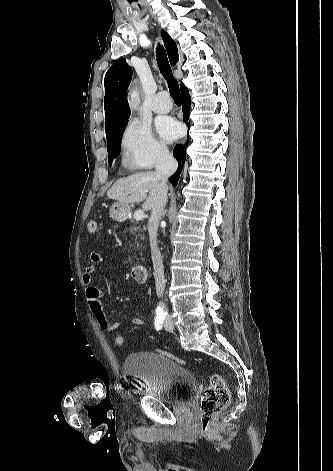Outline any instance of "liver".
<instances>
[{"mask_svg": "<svg viewBox=\"0 0 333 471\" xmlns=\"http://www.w3.org/2000/svg\"><path fill=\"white\" fill-rule=\"evenodd\" d=\"M147 192L149 195L147 196ZM160 194V180L154 171H145L118 179L108 190L107 197L122 204L144 201L142 208L151 210Z\"/></svg>", "mask_w": 333, "mask_h": 471, "instance_id": "1", "label": "liver"}]
</instances>
